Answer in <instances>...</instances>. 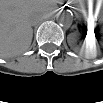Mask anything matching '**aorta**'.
I'll use <instances>...</instances> for the list:
<instances>
[{
  "label": "aorta",
  "mask_w": 103,
  "mask_h": 103,
  "mask_svg": "<svg viewBox=\"0 0 103 103\" xmlns=\"http://www.w3.org/2000/svg\"><path fill=\"white\" fill-rule=\"evenodd\" d=\"M57 23L62 27H69L72 23V16L67 11H60L56 17Z\"/></svg>",
  "instance_id": "obj_1"
}]
</instances>
